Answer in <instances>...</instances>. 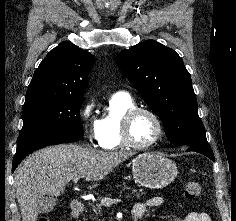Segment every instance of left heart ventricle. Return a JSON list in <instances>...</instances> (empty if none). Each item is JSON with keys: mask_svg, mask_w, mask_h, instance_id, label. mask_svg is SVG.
I'll return each mask as SVG.
<instances>
[{"mask_svg": "<svg viewBox=\"0 0 236 221\" xmlns=\"http://www.w3.org/2000/svg\"><path fill=\"white\" fill-rule=\"evenodd\" d=\"M157 135V124L145 113L138 114L131 124V137L138 144H147Z\"/></svg>", "mask_w": 236, "mask_h": 221, "instance_id": "obj_1", "label": "left heart ventricle"}]
</instances>
